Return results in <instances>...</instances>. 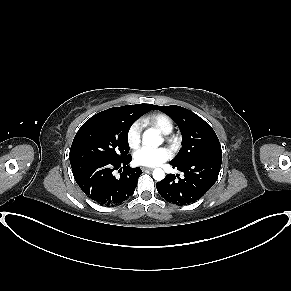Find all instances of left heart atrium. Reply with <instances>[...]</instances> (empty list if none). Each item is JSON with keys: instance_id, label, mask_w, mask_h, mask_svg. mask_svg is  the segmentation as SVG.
Returning a JSON list of instances; mask_svg holds the SVG:
<instances>
[{"instance_id": "1", "label": "left heart atrium", "mask_w": 291, "mask_h": 291, "mask_svg": "<svg viewBox=\"0 0 291 291\" xmlns=\"http://www.w3.org/2000/svg\"><path fill=\"white\" fill-rule=\"evenodd\" d=\"M171 157L167 148H152L143 146L138 148L133 155L134 161L138 165L156 166Z\"/></svg>"}]
</instances>
